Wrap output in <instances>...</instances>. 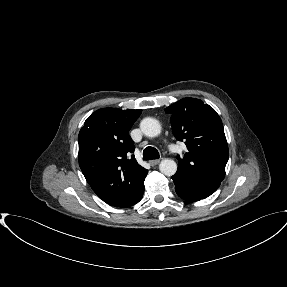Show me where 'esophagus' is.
Segmentation results:
<instances>
[{
	"mask_svg": "<svg viewBox=\"0 0 287 287\" xmlns=\"http://www.w3.org/2000/svg\"><path fill=\"white\" fill-rule=\"evenodd\" d=\"M159 162H160V160H151V161H149V164H150L151 166H156V165L159 164Z\"/></svg>",
	"mask_w": 287,
	"mask_h": 287,
	"instance_id": "1",
	"label": "esophagus"
}]
</instances>
